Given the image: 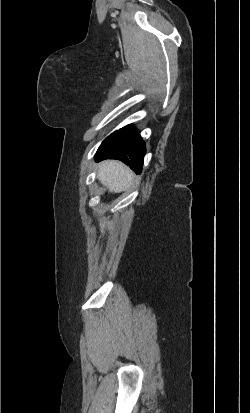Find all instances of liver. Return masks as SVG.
<instances>
[{
  "label": "liver",
  "mask_w": 250,
  "mask_h": 413,
  "mask_svg": "<svg viewBox=\"0 0 250 413\" xmlns=\"http://www.w3.org/2000/svg\"><path fill=\"white\" fill-rule=\"evenodd\" d=\"M133 178V172L119 161L106 160L98 166V179L110 192L120 193L125 190Z\"/></svg>",
  "instance_id": "1"
}]
</instances>
